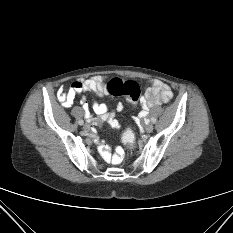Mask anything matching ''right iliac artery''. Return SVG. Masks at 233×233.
I'll list each match as a JSON object with an SVG mask.
<instances>
[{
    "label": "right iliac artery",
    "mask_w": 233,
    "mask_h": 233,
    "mask_svg": "<svg viewBox=\"0 0 233 233\" xmlns=\"http://www.w3.org/2000/svg\"><path fill=\"white\" fill-rule=\"evenodd\" d=\"M78 123H79L80 125H83L84 122H83V120H79Z\"/></svg>",
    "instance_id": "82829eb1"
}]
</instances>
